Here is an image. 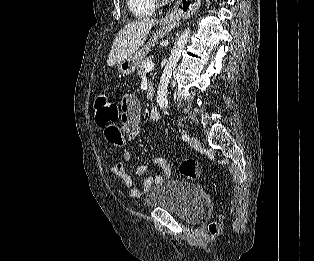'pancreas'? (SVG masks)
<instances>
[{
  "label": "pancreas",
  "instance_id": "cf45deb5",
  "mask_svg": "<svg viewBox=\"0 0 314 261\" xmlns=\"http://www.w3.org/2000/svg\"><path fill=\"white\" fill-rule=\"evenodd\" d=\"M146 50H147V47H144L142 49V51H144V53L146 54ZM145 57V55H144ZM144 57L141 59L140 63L138 64V75L140 77H143V75L145 74V69H144V64L146 63V61H149V60H152V57H148V58H145ZM154 89H153V83L150 82L149 83V88H148V92H147V98L149 100H152L153 99V93Z\"/></svg>",
  "mask_w": 314,
  "mask_h": 261
}]
</instances>
